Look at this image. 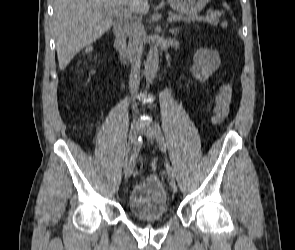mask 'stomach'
Listing matches in <instances>:
<instances>
[{
    "mask_svg": "<svg viewBox=\"0 0 295 250\" xmlns=\"http://www.w3.org/2000/svg\"><path fill=\"white\" fill-rule=\"evenodd\" d=\"M208 0H168L169 5L180 14L193 16L201 11Z\"/></svg>",
    "mask_w": 295,
    "mask_h": 250,
    "instance_id": "obj_1",
    "label": "stomach"
}]
</instances>
